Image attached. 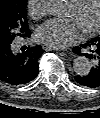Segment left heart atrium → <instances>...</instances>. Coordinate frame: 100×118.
I'll return each instance as SVG.
<instances>
[{
  "label": "left heart atrium",
  "instance_id": "39dd6f15",
  "mask_svg": "<svg viewBox=\"0 0 100 118\" xmlns=\"http://www.w3.org/2000/svg\"><path fill=\"white\" fill-rule=\"evenodd\" d=\"M82 33L83 30L73 18L68 20L51 19L37 29L36 36L46 45L61 48L77 42Z\"/></svg>",
  "mask_w": 100,
  "mask_h": 118
}]
</instances>
